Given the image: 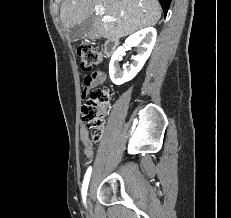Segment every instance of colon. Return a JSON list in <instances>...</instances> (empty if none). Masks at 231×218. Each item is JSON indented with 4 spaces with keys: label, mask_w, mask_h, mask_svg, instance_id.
<instances>
[{
    "label": "colon",
    "mask_w": 231,
    "mask_h": 218,
    "mask_svg": "<svg viewBox=\"0 0 231 218\" xmlns=\"http://www.w3.org/2000/svg\"><path fill=\"white\" fill-rule=\"evenodd\" d=\"M76 56L83 71H90L104 60V53L89 44H80L76 48ZM110 104V94L107 89L95 88L82 107V119L94 141L101 139L104 128V117Z\"/></svg>",
    "instance_id": "obj_1"
}]
</instances>
